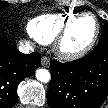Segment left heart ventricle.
I'll return each instance as SVG.
<instances>
[{
    "label": "left heart ventricle",
    "instance_id": "b2bd125f",
    "mask_svg": "<svg viewBox=\"0 0 108 108\" xmlns=\"http://www.w3.org/2000/svg\"><path fill=\"white\" fill-rule=\"evenodd\" d=\"M95 30V23L91 17H84L79 20L69 33L65 42L66 48L75 50L86 45L92 38Z\"/></svg>",
    "mask_w": 108,
    "mask_h": 108
}]
</instances>
